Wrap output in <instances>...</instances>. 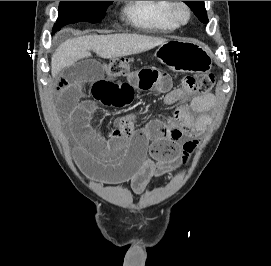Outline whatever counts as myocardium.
<instances>
[{"mask_svg": "<svg viewBox=\"0 0 271 266\" xmlns=\"http://www.w3.org/2000/svg\"><path fill=\"white\" fill-rule=\"evenodd\" d=\"M179 9L184 10V17L179 15ZM169 14L177 25H185L192 18V9L186 1H170Z\"/></svg>", "mask_w": 271, "mask_h": 266, "instance_id": "myocardium-1", "label": "myocardium"}]
</instances>
